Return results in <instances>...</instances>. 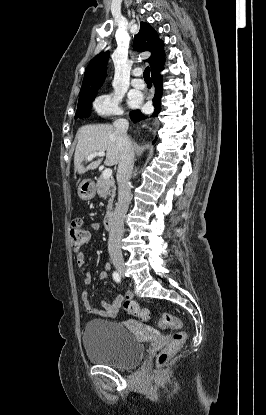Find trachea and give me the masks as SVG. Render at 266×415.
Returning <instances> with one entry per match:
<instances>
[{
    "instance_id": "1",
    "label": "trachea",
    "mask_w": 266,
    "mask_h": 415,
    "mask_svg": "<svg viewBox=\"0 0 266 415\" xmlns=\"http://www.w3.org/2000/svg\"><path fill=\"white\" fill-rule=\"evenodd\" d=\"M143 77H144V79H145L146 81H151V77H150V68H149V67H147V68L144 70Z\"/></svg>"
}]
</instances>
